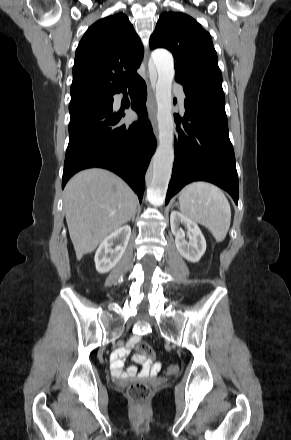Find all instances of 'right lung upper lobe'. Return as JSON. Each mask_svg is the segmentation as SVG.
Segmentation results:
<instances>
[{"label":"right lung upper lobe","mask_w":291,"mask_h":440,"mask_svg":"<svg viewBox=\"0 0 291 440\" xmlns=\"http://www.w3.org/2000/svg\"><path fill=\"white\" fill-rule=\"evenodd\" d=\"M144 50L133 25L123 13L94 23L75 54L71 99L111 94L135 78Z\"/></svg>","instance_id":"cb5924a9"}]
</instances>
